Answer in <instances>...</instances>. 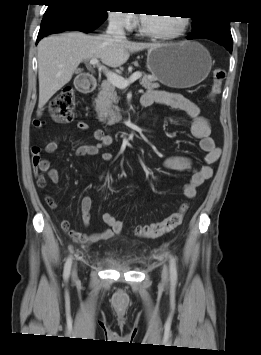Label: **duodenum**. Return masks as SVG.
I'll return each mask as SVG.
<instances>
[{
  "label": "duodenum",
  "instance_id": "duodenum-1",
  "mask_svg": "<svg viewBox=\"0 0 261 355\" xmlns=\"http://www.w3.org/2000/svg\"><path fill=\"white\" fill-rule=\"evenodd\" d=\"M97 86L96 78L89 75H82L76 82V88L81 93H89Z\"/></svg>",
  "mask_w": 261,
  "mask_h": 355
}]
</instances>
